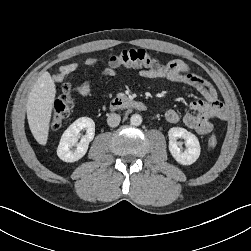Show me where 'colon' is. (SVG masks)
<instances>
[{
    "instance_id": "1",
    "label": "colon",
    "mask_w": 251,
    "mask_h": 251,
    "mask_svg": "<svg viewBox=\"0 0 251 251\" xmlns=\"http://www.w3.org/2000/svg\"><path fill=\"white\" fill-rule=\"evenodd\" d=\"M109 65L113 68L120 67H142L146 69H162L163 65L157 57L145 49H126L113 55L109 59ZM74 107V94L70 84H64L61 95L53 104L50 126L52 129L60 128L71 114ZM217 138L211 136L208 140V147L214 148L217 145Z\"/></svg>"
}]
</instances>
